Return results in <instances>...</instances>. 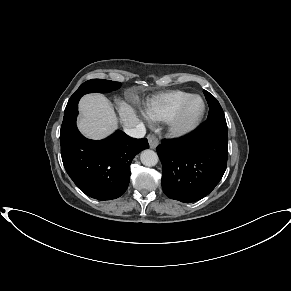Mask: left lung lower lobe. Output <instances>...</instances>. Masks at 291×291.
I'll return each mask as SVG.
<instances>
[{"label": "left lung lower lobe", "instance_id": "0a47b994", "mask_svg": "<svg viewBox=\"0 0 291 291\" xmlns=\"http://www.w3.org/2000/svg\"><path fill=\"white\" fill-rule=\"evenodd\" d=\"M157 153L164 193L185 203L198 201L215 188L226 170V120H207L188 136L162 140Z\"/></svg>", "mask_w": 291, "mask_h": 291}]
</instances>
